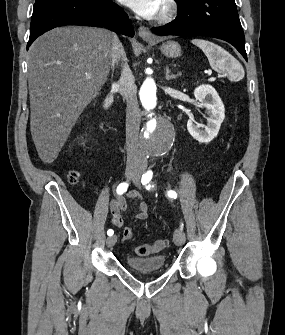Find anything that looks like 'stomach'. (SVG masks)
<instances>
[{
    "instance_id": "1",
    "label": "stomach",
    "mask_w": 285,
    "mask_h": 335,
    "mask_svg": "<svg viewBox=\"0 0 285 335\" xmlns=\"http://www.w3.org/2000/svg\"><path fill=\"white\" fill-rule=\"evenodd\" d=\"M160 50L164 56H167V58H179V56H181V48L179 44H177V42H172V40L164 42Z\"/></svg>"
}]
</instances>
